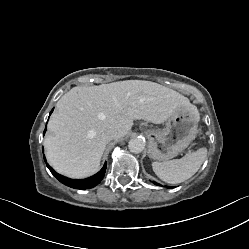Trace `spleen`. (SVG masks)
<instances>
[{
	"label": "spleen",
	"mask_w": 249,
	"mask_h": 249,
	"mask_svg": "<svg viewBox=\"0 0 249 249\" xmlns=\"http://www.w3.org/2000/svg\"><path fill=\"white\" fill-rule=\"evenodd\" d=\"M207 157V149L200 148L188 153L181 159L165 162H153L155 174L164 182L178 184L191 178L201 167Z\"/></svg>",
	"instance_id": "spleen-1"
}]
</instances>
